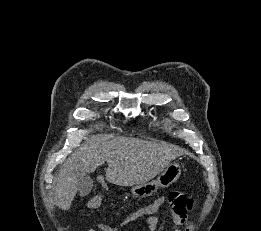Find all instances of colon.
<instances>
[{
    "instance_id": "obj_1",
    "label": "colon",
    "mask_w": 261,
    "mask_h": 231,
    "mask_svg": "<svg viewBox=\"0 0 261 231\" xmlns=\"http://www.w3.org/2000/svg\"><path fill=\"white\" fill-rule=\"evenodd\" d=\"M160 204L151 203L145 207V213L155 211ZM168 209L183 221H189L194 215V201L183 192L168 194Z\"/></svg>"
}]
</instances>
